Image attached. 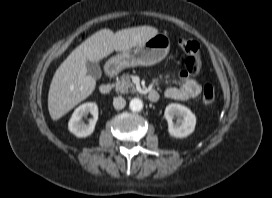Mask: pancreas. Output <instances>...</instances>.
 Returning <instances> with one entry per match:
<instances>
[{"label": "pancreas", "mask_w": 272, "mask_h": 198, "mask_svg": "<svg viewBox=\"0 0 272 198\" xmlns=\"http://www.w3.org/2000/svg\"><path fill=\"white\" fill-rule=\"evenodd\" d=\"M115 90L118 93H128V92H136V88L134 84L130 80L129 74H123L120 79H117L116 83L114 84Z\"/></svg>", "instance_id": "obj_1"}]
</instances>
